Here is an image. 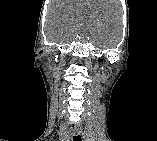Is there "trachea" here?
<instances>
[{
  "instance_id": "1",
  "label": "trachea",
  "mask_w": 157,
  "mask_h": 141,
  "mask_svg": "<svg viewBox=\"0 0 157 141\" xmlns=\"http://www.w3.org/2000/svg\"><path fill=\"white\" fill-rule=\"evenodd\" d=\"M73 141H82L81 136L80 135H75L73 137Z\"/></svg>"
}]
</instances>
